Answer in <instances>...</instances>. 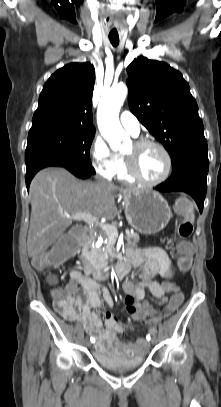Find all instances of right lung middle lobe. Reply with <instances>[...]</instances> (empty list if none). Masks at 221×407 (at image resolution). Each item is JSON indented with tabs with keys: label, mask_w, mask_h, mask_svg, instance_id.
Returning <instances> with one entry per match:
<instances>
[{
	"label": "right lung middle lobe",
	"mask_w": 221,
	"mask_h": 407,
	"mask_svg": "<svg viewBox=\"0 0 221 407\" xmlns=\"http://www.w3.org/2000/svg\"><path fill=\"white\" fill-rule=\"evenodd\" d=\"M95 131L69 127H44L29 131L25 151L26 166L44 158L61 159L86 172L95 173L89 151Z\"/></svg>",
	"instance_id": "dd1d6c3e"
}]
</instances>
